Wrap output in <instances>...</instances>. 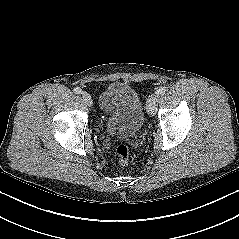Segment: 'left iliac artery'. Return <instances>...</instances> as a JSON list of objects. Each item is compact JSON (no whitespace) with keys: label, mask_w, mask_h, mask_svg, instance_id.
I'll return each mask as SVG.
<instances>
[{"label":"left iliac artery","mask_w":239,"mask_h":239,"mask_svg":"<svg viewBox=\"0 0 239 239\" xmlns=\"http://www.w3.org/2000/svg\"><path fill=\"white\" fill-rule=\"evenodd\" d=\"M166 91H167L166 87H160L157 92H158V94L163 95Z\"/></svg>","instance_id":"44dca946"}]
</instances>
